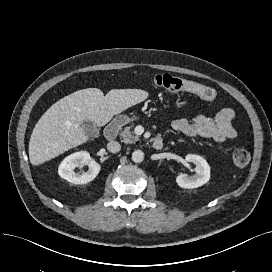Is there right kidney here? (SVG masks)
<instances>
[{
  "instance_id": "right-kidney-1",
  "label": "right kidney",
  "mask_w": 272,
  "mask_h": 272,
  "mask_svg": "<svg viewBox=\"0 0 272 272\" xmlns=\"http://www.w3.org/2000/svg\"><path fill=\"white\" fill-rule=\"evenodd\" d=\"M88 165L89 169L83 174L75 173L74 169ZM100 165L86 151H80L67 156L58 167V174L73 184H86L95 179L100 172Z\"/></svg>"
}]
</instances>
